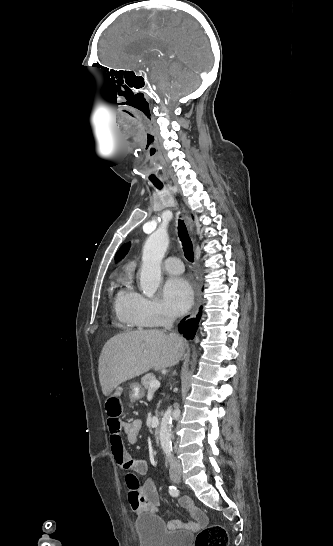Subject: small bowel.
Returning <instances> with one entry per match:
<instances>
[{"label":"small bowel","mask_w":333,"mask_h":546,"mask_svg":"<svg viewBox=\"0 0 333 546\" xmlns=\"http://www.w3.org/2000/svg\"><path fill=\"white\" fill-rule=\"evenodd\" d=\"M114 390L116 393H114L113 396H120L119 393L123 392L124 389L121 386H117ZM107 426L114 460L121 471L127 472L126 484L128 486V497L131 509L135 512L145 511L156 513L158 507L161 505V498L157 491L155 481L149 478L140 485L137 477V474L145 475L147 473L148 464L144 460H133L130 454L124 449L121 438V431H124L129 443H137L142 422L137 419L123 421L120 417L117 421L112 422L107 415ZM180 504L194 519V522L191 523L190 526L197 527L204 524V514L189 498L181 499ZM170 525L173 527H182L184 523L181 521H172L170 522Z\"/></svg>","instance_id":"c3829d8e"}]
</instances>
